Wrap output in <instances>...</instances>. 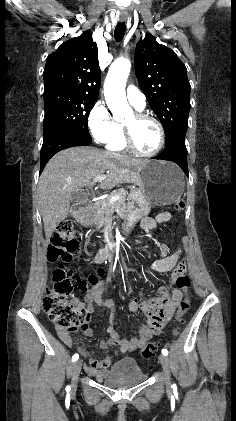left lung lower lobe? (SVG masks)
I'll return each instance as SVG.
<instances>
[{"label": "left lung lower lobe", "instance_id": "left-lung-lower-lobe-1", "mask_svg": "<svg viewBox=\"0 0 236 421\" xmlns=\"http://www.w3.org/2000/svg\"><path fill=\"white\" fill-rule=\"evenodd\" d=\"M155 159L168 160L178 164L188 177L187 149L185 146V136L177 135L170 140L167 148Z\"/></svg>", "mask_w": 236, "mask_h": 421}]
</instances>
